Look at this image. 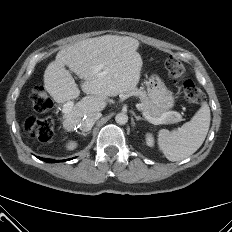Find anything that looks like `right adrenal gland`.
Returning <instances> with one entry per match:
<instances>
[{"mask_svg": "<svg viewBox=\"0 0 232 232\" xmlns=\"http://www.w3.org/2000/svg\"><path fill=\"white\" fill-rule=\"evenodd\" d=\"M78 134H80V135H83V136H87L88 134H90L91 133V131H88V132H78V131H76Z\"/></svg>", "mask_w": 232, "mask_h": 232, "instance_id": "1", "label": "right adrenal gland"}]
</instances>
